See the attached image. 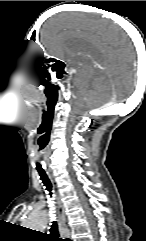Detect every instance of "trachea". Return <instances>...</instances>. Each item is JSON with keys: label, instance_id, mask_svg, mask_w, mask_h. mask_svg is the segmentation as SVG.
Returning a JSON list of instances; mask_svg holds the SVG:
<instances>
[{"label": "trachea", "instance_id": "obj_1", "mask_svg": "<svg viewBox=\"0 0 146 241\" xmlns=\"http://www.w3.org/2000/svg\"><path fill=\"white\" fill-rule=\"evenodd\" d=\"M38 173L44 186L46 187V190L49 192L50 197H52V185L50 180L48 179V176L46 175L44 170L38 169ZM50 236L52 241H65L64 239L59 237L58 226L56 221L52 222L50 228Z\"/></svg>", "mask_w": 146, "mask_h": 241}]
</instances>
